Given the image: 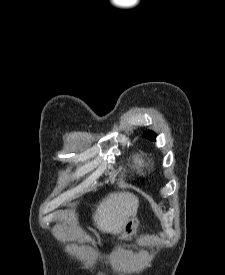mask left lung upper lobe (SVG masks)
<instances>
[{"label":"left lung upper lobe","instance_id":"left-lung-upper-lobe-1","mask_svg":"<svg viewBox=\"0 0 225 275\" xmlns=\"http://www.w3.org/2000/svg\"><path fill=\"white\" fill-rule=\"evenodd\" d=\"M144 136H145L146 138L150 139V140H153V141H154L155 138H156L155 133L152 132V131H146V132L144 133Z\"/></svg>","mask_w":225,"mask_h":275}]
</instances>
